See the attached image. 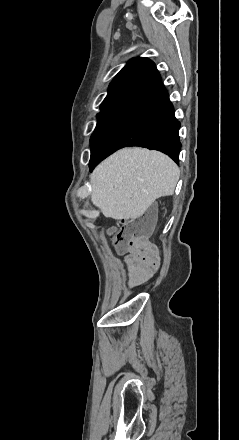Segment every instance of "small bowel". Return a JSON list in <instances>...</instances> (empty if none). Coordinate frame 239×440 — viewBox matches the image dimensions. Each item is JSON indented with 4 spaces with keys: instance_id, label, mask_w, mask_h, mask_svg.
<instances>
[{
    "instance_id": "c3829d8e",
    "label": "small bowel",
    "mask_w": 239,
    "mask_h": 440,
    "mask_svg": "<svg viewBox=\"0 0 239 440\" xmlns=\"http://www.w3.org/2000/svg\"><path fill=\"white\" fill-rule=\"evenodd\" d=\"M128 285L136 287L146 282L160 265L159 251L148 243L126 249Z\"/></svg>"
}]
</instances>
